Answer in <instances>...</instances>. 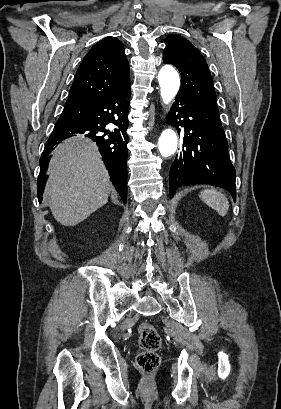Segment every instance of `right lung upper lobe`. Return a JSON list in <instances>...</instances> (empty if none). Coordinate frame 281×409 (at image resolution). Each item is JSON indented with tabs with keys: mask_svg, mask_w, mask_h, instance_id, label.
<instances>
[{
	"mask_svg": "<svg viewBox=\"0 0 281 409\" xmlns=\"http://www.w3.org/2000/svg\"><path fill=\"white\" fill-rule=\"evenodd\" d=\"M130 85L129 63L121 41L106 37L98 42L80 64L67 103L89 102Z\"/></svg>",
	"mask_w": 281,
	"mask_h": 409,
	"instance_id": "right-lung-upper-lobe-1",
	"label": "right lung upper lobe"
}]
</instances>
